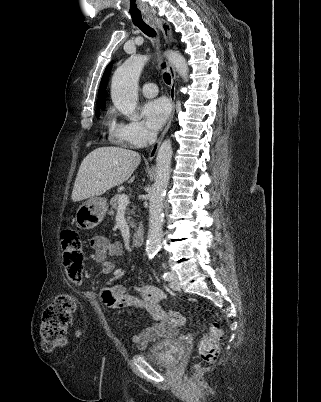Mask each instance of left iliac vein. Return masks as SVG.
<instances>
[{
  "mask_svg": "<svg viewBox=\"0 0 321 402\" xmlns=\"http://www.w3.org/2000/svg\"><path fill=\"white\" fill-rule=\"evenodd\" d=\"M170 273L172 275V279L170 281V287L175 291H180L181 287L179 285V280L176 273L174 271H171Z\"/></svg>",
  "mask_w": 321,
  "mask_h": 402,
  "instance_id": "1",
  "label": "left iliac vein"
}]
</instances>
